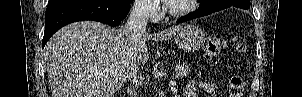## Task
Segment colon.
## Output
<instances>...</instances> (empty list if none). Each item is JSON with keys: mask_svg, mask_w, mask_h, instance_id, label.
Instances as JSON below:
<instances>
[{"mask_svg": "<svg viewBox=\"0 0 302 97\" xmlns=\"http://www.w3.org/2000/svg\"><path fill=\"white\" fill-rule=\"evenodd\" d=\"M226 41L220 38L209 40L204 48V57L207 61H213L216 59L221 51L224 49ZM238 48L242 50L243 45H238ZM244 80L239 76H234L229 82V97H242L244 91Z\"/></svg>", "mask_w": 302, "mask_h": 97, "instance_id": "5ec220e1", "label": "colon"}]
</instances>
